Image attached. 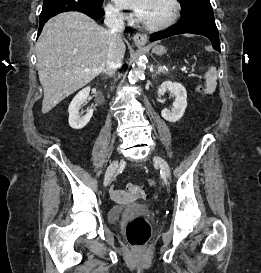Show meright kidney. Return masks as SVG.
Here are the masks:
<instances>
[{"mask_svg": "<svg viewBox=\"0 0 261 273\" xmlns=\"http://www.w3.org/2000/svg\"><path fill=\"white\" fill-rule=\"evenodd\" d=\"M89 93L90 87L82 89L77 93L69 105V125L73 129L79 130L85 127L93 115V109L87 110V113L84 116H80L79 114V109L82 104L86 102Z\"/></svg>", "mask_w": 261, "mask_h": 273, "instance_id": "right-kidney-1", "label": "right kidney"}]
</instances>
